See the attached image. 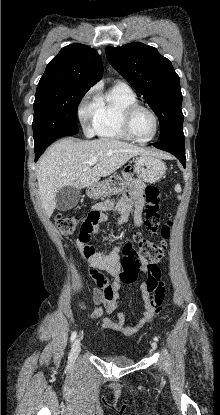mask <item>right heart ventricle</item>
<instances>
[{
  "label": "right heart ventricle",
  "mask_w": 220,
  "mask_h": 415,
  "mask_svg": "<svg viewBox=\"0 0 220 415\" xmlns=\"http://www.w3.org/2000/svg\"><path fill=\"white\" fill-rule=\"evenodd\" d=\"M137 101V96L131 89L117 86L98 96L94 120L95 133L102 138L130 140L122 127V114L128 105Z\"/></svg>",
  "instance_id": "1"
}]
</instances>
